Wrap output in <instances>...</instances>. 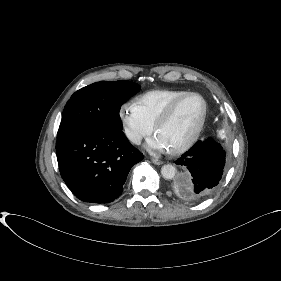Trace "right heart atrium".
Here are the masks:
<instances>
[{
	"mask_svg": "<svg viewBox=\"0 0 281 281\" xmlns=\"http://www.w3.org/2000/svg\"><path fill=\"white\" fill-rule=\"evenodd\" d=\"M119 117L127 138L134 144L150 135L153 125L146 119L136 102L128 101L121 105Z\"/></svg>",
	"mask_w": 281,
	"mask_h": 281,
	"instance_id": "right-heart-atrium-1",
	"label": "right heart atrium"
}]
</instances>
